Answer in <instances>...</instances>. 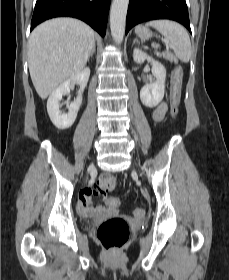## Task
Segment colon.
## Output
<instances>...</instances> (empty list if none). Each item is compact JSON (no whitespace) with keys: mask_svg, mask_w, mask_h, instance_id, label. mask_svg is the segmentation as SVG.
Masks as SVG:
<instances>
[{"mask_svg":"<svg viewBox=\"0 0 229 280\" xmlns=\"http://www.w3.org/2000/svg\"><path fill=\"white\" fill-rule=\"evenodd\" d=\"M183 73L181 69L177 68L172 75V88L170 94V114L175 118L179 113L181 103V88H182ZM117 180L111 174H103L100 178L99 184L103 189H112L116 186ZM116 206L120 205V200H114ZM137 217L143 216V211L139 208L134 210ZM128 222L121 217H112L104 221L97 229V238L103 247L111 252L118 253L129 238Z\"/></svg>","mask_w":229,"mask_h":280,"instance_id":"colon-1","label":"colon"}]
</instances>
